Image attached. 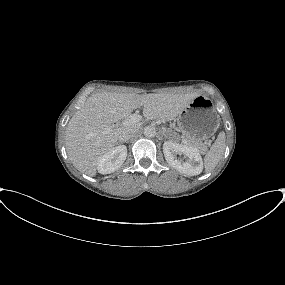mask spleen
I'll list each match as a JSON object with an SVG mask.
<instances>
[{
	"mask_svg": "<svg viewBox=\"0 0 285 285\" xmlns=\"http://www.w3.org/2000/svg\"><path fill=\"white\" fill-rule=\"evenodd\" d=\"M225 150V133H219L210 151L204 157V167L206 172L212 171L221 160Z\"/></svg>",
	"mask_w": 285,
	"mask_h": 285,
	"instance_id": "spleen-1",
	"label": "spleen"
}]
</instances>
